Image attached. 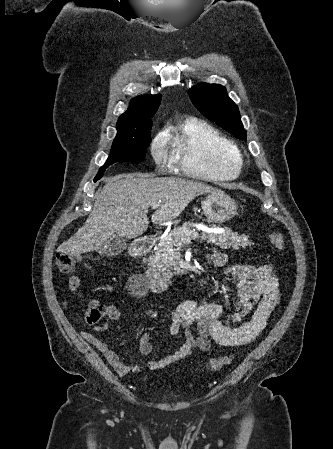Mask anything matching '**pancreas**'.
Returning a JSON list of instances; mask_svg holds the SVG:
<instances>
[{"label":"pancreas","mask_w":333,"mask_h":449,"mask_svg":"<svg viewBox=\"0 0 333 449\" xmlns=\"http://www.w3.org/2000/svg\"><path fill=\"white\" fill-rule=\"evenodd\" d=\"M184 228L190 230L191 228L195 229L196 226L191 222L183 223L181 227L174 228L155 248L152 259L165 277H171L173 275L171 270L178 269V264L181 261L182 247L189 244L193 239L183 231ZM200 239L223 249L230 247L239 249L240 247L251 246L252 244L248 236L239 235L237 232H232L229 228H225L224 232L220 234L203 231Z\"/></svg>","instance_id":"pancreas-1"}]
</instances>
